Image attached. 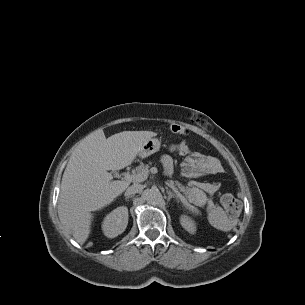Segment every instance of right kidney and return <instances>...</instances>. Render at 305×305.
<instances>
[{
	"label": "right kidney",
	"instance_id": "1",
	"mask_svg": "<svg viewBox=\"0 0 305 305\" xmlns=\"http://www.w3.org/2000/svg\"><path fill=\"white\" fill-rule=\"evenodd\" d=\"M127 224L128 209L120 206L106 215L102 223V230L106 237L115 238L125 231Z\"/></svg>",
	"mask_w": 305,
	"mask_h": 305
}]
</instances>
